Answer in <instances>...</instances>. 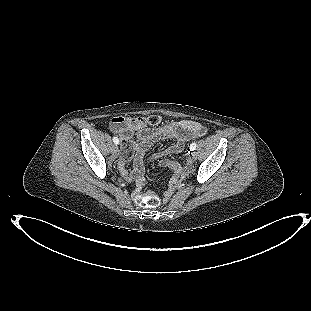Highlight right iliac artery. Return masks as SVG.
<instances>
[{
	"instance_id": "right-iliac-artery-1",
	"label": "right iliac artery",
	"mask_w": 311,
	"mask_h": 311,
	"mask_svg": "<svg viewBox=\"0 0 311 311\" xmlns=\"http://www.w3.org/2000/svg\"><path fill=\"white\" fill-rule=\"evenodd\" d=\"M113 142L117 145L119 144V139L117 137H113Z\"/></svg>"
}]
</instances>
